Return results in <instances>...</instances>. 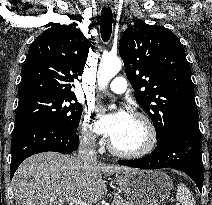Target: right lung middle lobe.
<instances>
[{"mask_svg": "<svg viewBox=\"0 0 212 205\" xmlns=\"http://www.w3.org/2000/svg\"><path fill=\"white\" fill-rule=\"evenodd\" d=\"M81 114L82 106L76 97L36 94L20 98L15 124L49 121L77 133Z\"/></svg>", "mask_w": 212, "mask_h": 205, "instance_id": "obj_1", "label": "right lung middle lobe"}]
</instances>
